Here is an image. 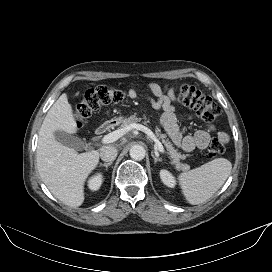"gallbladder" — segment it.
I'll return each instance as SVG.
<instances>
[{
  "mask_svg": "<svg viewBox=\"0 0 272 272\" xmlns=\"http://www.w3.org/2000/svg\"><path fill=\"white\" fill-rule=\"evenodd\" d=\"M54 136L59 143L65 146L72 147L77 150H81L85 147L86 142L84 140L63 131H56Z\"/></svg>",
  "mask_w": 272,
  "mask_h": 272,
  "instance_id": "bac80fb5",
  "label": "gallbladder"
}]
</instances>
